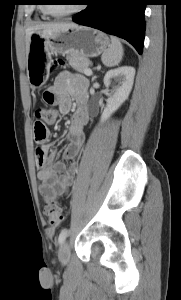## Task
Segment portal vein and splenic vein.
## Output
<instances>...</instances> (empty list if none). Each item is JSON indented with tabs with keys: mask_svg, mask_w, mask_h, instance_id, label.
Wrapping results in <instances>:
<instances>
[{
	"mask_svg": "<svg viewBox=\"0 0 181 300\" xmlns=\"http://www.w3.org/2000/svg\"><path fill=\"white\" fill-rule=\"evenodd\" d=\"M85 75L91 76L92 75V70L91 69L85 70Z\"/></svg>",
	"mask_w": 181,
	"mask_h": 300,
	"instance_id": "portal-vein-and-splenic-vein-1",
	"label": "portal vein and splenic vein"
}]
</instances>
